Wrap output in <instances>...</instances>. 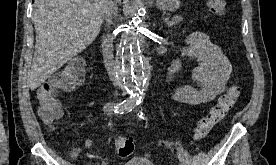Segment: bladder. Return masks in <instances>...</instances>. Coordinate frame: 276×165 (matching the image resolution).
Listing matches in <instances>:
<instances>
[{
	"instance_id": "31cf9c89",
	"label": "bladder",
	"mask_w": 276,
	"mask_h": 165,
	"mask_svg": "<svg viewBox=\"0 0 276 165\" xmlns=\"http://www.w3.org/2000/svg\"><path fill=\"white\" fill-rule=\"evenodd\" d=\"M123 165H154V164L150 162L148 159H145L142 157H132Z\"/></svg>"
}]
</instances>
